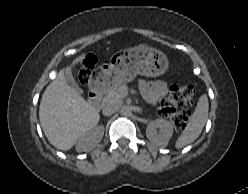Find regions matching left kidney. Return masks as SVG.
<instances>
[{
  "label": "left kidney",
  "mask_w": 248,
  "mask_h": 194,
  "mask_svg": "<svg viewBox=\"0 0 248 194\" xmlns=\"http://www.w3.org/2000/svg\"><path fill=\"white\" fill-rule=\"evenodd\" d=\"M157 129H159V132H157ZM172 134L173 126L165 119H157L147 125L146 136L156 146H167Z\"/></svg>",
  "instance_id": "1"
}]
</instances>
